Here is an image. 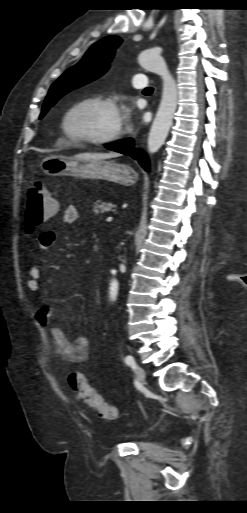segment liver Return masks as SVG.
<instances>
[{
    "mask_svg": "<svg viewBox=\"0 0 247 513\" xmlns=\"http://www.w3.org/2000/svg\"><path fill=\"white\" fill-rule=\"evenodd\" d=\"M119 154L116 152H110V153H96V152H85L80 153L76 157L79 159L84 160H101V159H108V158H114L117 157Z\"/></svg>",
    "mask_w": 247,
    "mask_h": 513,
    "instance_id": "liver-1",
    "label": "liver"
}]
</instances>
